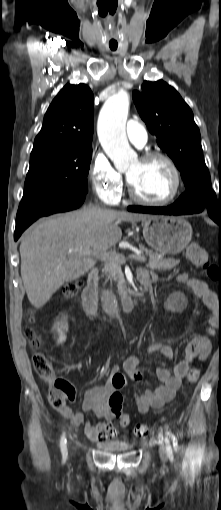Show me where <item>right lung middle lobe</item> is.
I'll return each instance as SVG.
<instances>
[{
	"label": "right lung middle lobe",
	"instance_id": "right-lung-middle-lobe-1",
	"mask_svg": "<svg viewBox=\"0 0 221 510\" xmlns=\"http://www.w3.org/2000/svg\"><path fill=\"white\" fill-rule=\"evenodd\" d=\"M92 146L30 157L19 209L31 216L66 201L85 196Z\"/></svg>",
	"mask_w": 221,
	"mask_h": 510
}]
</instances>
